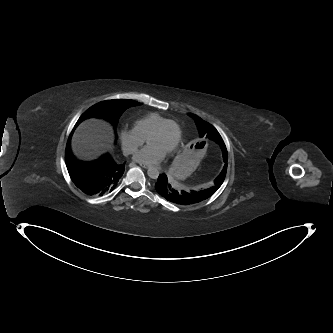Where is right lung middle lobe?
<instances>
[{
  "mask_svg": "<svg viewBox=\"0 0 333 333\" xmlns=\"http://www.w3.org/2000/svg\"><path fill=\"white\" fill-rule=\"evenodd\" d=\"M139 102L128 100V99H115L97 103L89 108L79 118L76 126L86 118L89 117H101L105 118L116 125L119 117L122 113L131 106L139 105Z\"/></svg>",
  "mask_w": 333,
  "mask_h": 333,
  "instance_id": "obj_1",
  "label": "right lung middle lobe"
}]
</instances>
